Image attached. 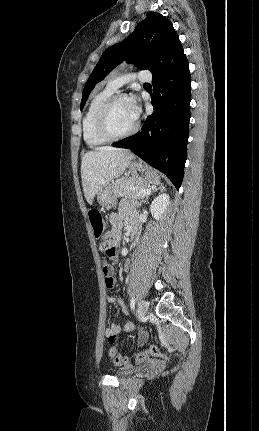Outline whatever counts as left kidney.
<instances>
[{"label": "left kidney", "instance_id": "5707ae66", "mask_svg": "<svg viewBox=\"0 0 259 431\" xmlns=\"http://www.w3.org/2000/svg\"><path fill=\"white\" fill-rule=\"evenodd\" d=\"M169 195L160 194L154 198L150 206V212L156 220H159L169 205Z\"/></svg>", "mask_w": 259, "mask_h": 431}]
</instances>
